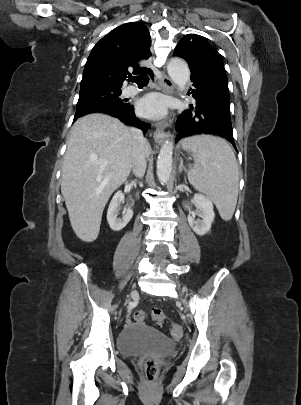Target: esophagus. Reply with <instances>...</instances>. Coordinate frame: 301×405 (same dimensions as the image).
<instances>
[{"label": "esophagus", "mask_w": 301, "mask_h": 405, "mask_svg": "<svg viewBox=\"0 0 301 405\" xmlns=\"http://www.w3.org/2000/svg\"><path fill=\"white\" fill-rule=\"evenodd\" d=\"M159 86L163 89H165L167 92L172 93L174 91V85L172 80L165 74H162L161 79L158 82ZM175 119V114H171L167 120L162 125H159L156 127L154 131V140L157 143H162L168 136L169 134L166 132L165 128L169 126L173 120Z\"/></svg>", "instance_id": "esophagus-1"}]
</instances>
